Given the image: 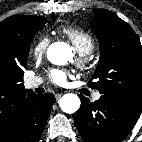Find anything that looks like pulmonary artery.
<instances>
[{
    "label": "pulmonary artery",
    "mask_w": 142,
    "mask_h": 142,
    "mask_svg": "<svg viewBox=\"0 0 142 142\" xmlns=\"http://www.w3.org/2000/svg\"><path fill=\"white\" fill-rule=\"evenodd\" d=\"M43 83V80L40 77H30L25 81V87L27 89H33L39 87ZM100 98V93L96 92L93 95L94 100H98Z\"/></svg>",
    "instance_id": "1"
}]
</instances>
